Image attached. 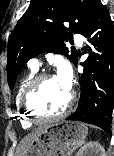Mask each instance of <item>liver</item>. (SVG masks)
I'll use <instances>...</instances> for the list:
<instances>
[{"instance_id": "6515ba94", "label": "liver", "mask_w": 114, "mask_h": 156, "mask_svg": "<svg viewBox=\"0 0 114 156\" xmlns=\"http://www.w3.org/2000/svg\"><path fill=\"white\" fill-rule=\"evenodd\" d=\"M47 126L38 127L31 134L27 135L24 139L21 140L20 144L16 149V156H25L27 149L29 148L31 142L40 135Z\"/></svg>"}]
</instances>
